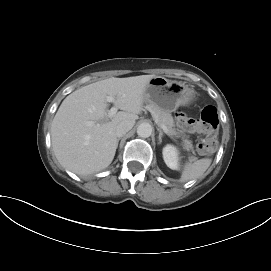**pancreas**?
Returning a JSON list of instances; mask_svg holds the SVG:
<instances>
[{
  "mask_svg": "<svg viewBox=\"0 0 271 271\" xmlns=\"http://www.w3.org/2000/svg\"><path fill=\"white\" fill-rule=\"evenodd\" d=\"M146 108L151 112L153 119L156 121L157 125L161 127L162 125H165L168 129V132L175 136L180 137L182 139V146L185 150L192 152L191 158L194 160L196 157L194 146L192 144V141L189 139V137L185 134H183L181 131L177 130L175 128L174 120L172 115L169 112H166L159 108L157 105L154 104H148Z\"/></svg>",
  "mask_w": 271,
  "mask_h": 271,
  "instance_id": "pancreas-1",
  "label": "pancreas"
}]
</instances>
